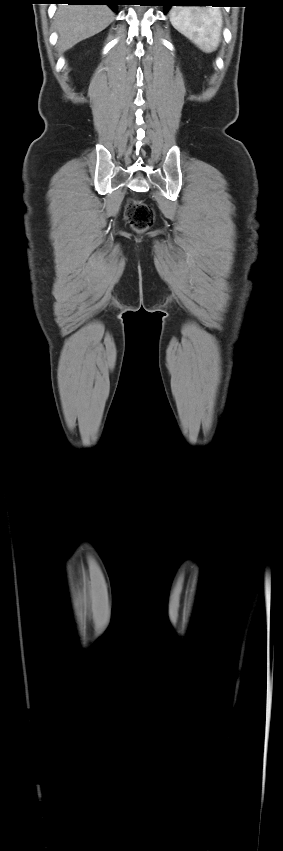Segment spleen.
I'll use <instances>...</instances> for the list:
<instances>
[{"instance_id":"1","label":"spleen","mask_w":283,"mask_h":851,"mask_svg":"<svg viewBox=\"0 0 283 851\" xmlns=\"http://www.w3.org/2000/svg\"><path fill=\"white\" fill-rule=\"evenodd\" d=\"M173 27L205 53L214 52L220 43L222 14L212 7H173Z\"/></svg>"}]
</instances>
